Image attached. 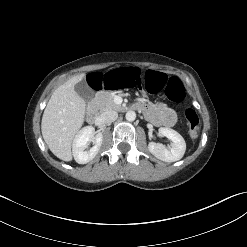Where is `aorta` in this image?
<instances>
[{
  "label": "aorta",
  "instance_id": "obj_1",
  "mask_svg": "<svg viewBox=\"0 0 247 247\" xmlns=\"http://www.w3.org/2000/svg\"><path fill=\"white\" fill-rule=\"evenodd\" d=\"M125 117L127 121H134L136 118V113L134 111H128Z\"/></svg>",
  "mask_w": 247,
  "mask_h": 247
}]
</instances>
